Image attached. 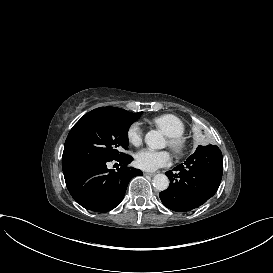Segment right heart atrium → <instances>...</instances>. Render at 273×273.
Instances as JSON below:
<instances>
[{
    "label": "right heart atrium",
    "instance_id": "right-heart-atrium-1",
    "mask_svg": "<svg viewBox=\"0 0 273 273\" xmlns=\"http://www.w3.org/2000/svg\"><path fill=\"white\" fill-rule=\"evenodd\" d=\"M128 139L133 145H140L143 140V130L139 123L130 125L127 132Z\"/></svg>",
    "mask_w": 273,
    "mask_h": 273
}]
</instances>
